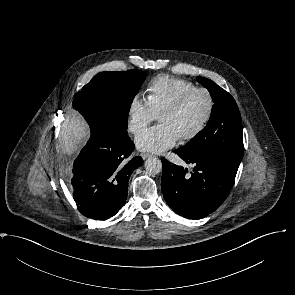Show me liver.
<instances>
[{
  "label": "liver",
  "mask_w": 295,
  "mask_h": 295,
  "mask_svg": "<svg viewBox=\"0 0 295 295\" xmlns=\"http://www.w3.org/2000/svg\"><path fill=\"white\" fill-rule=\"evenodd\" d=\"M89 137L88 126L77 113L69 112L61 125L59 147L68 155L74 154Z\"/></svg>",
  "instance_id": "obj_1"
}]
</instances>
